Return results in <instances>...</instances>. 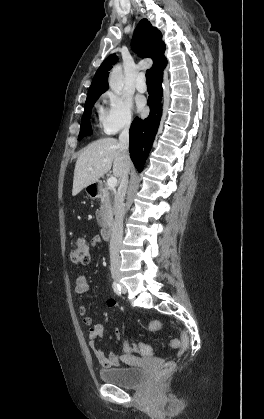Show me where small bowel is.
I'll return each instance as SVG.
<instances>
[{
  "label": "small bowel",
  "instance_id": "small-bowel-1",
  "mask_svg": "<svg viewBox=\"0 0 264 419\" xmlns=\"http://www.w3.org/2000/svg\"><path fill=\"white\" fill-rule=\"evenodd\" d=\"M101 242H102V239L100 236H95L92 239L93 246H97ZM88 288H89V285L85 276L82 274H78L75 279V292L77 294H83L87 292ZM107 306L109 308H114L116 306V303L114 300H108ZM78 313L79 315L82 316L83 323L89 327V345L91 349L93 350L100 365L106 368L119 366L120 358L117 355L115 354L107 355L102 350L96 347V341L103 335V331H104L103 326L101 324L94 323L93 318L87 314V308L85 306L83 305L79 306ZM159 329H160V324H159L158 330ZM114 337L116 340L120 339L121 334L119 330H115ZM132 345L133 343L131 342H125L123 344V351H124L123 358L124 359L128 358L133 352H137L144 357H150L154 354L153 348L146 344L139 343V344H136V346H132ZM141 347L145 351L140 350Z\"/></svg>",
  "mask_w": 264,
  "mask_h": 419
}]
</instances>
